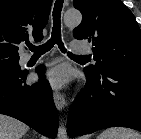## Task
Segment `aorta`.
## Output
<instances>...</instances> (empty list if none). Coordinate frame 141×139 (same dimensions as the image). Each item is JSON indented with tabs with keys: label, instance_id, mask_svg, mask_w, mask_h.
Instances as JSON below:
<instances>
[{
	"label": "aorta",
	"instance_id": "1",
	"mask_svg": "<svg viewBox=\"0 0 141 139\" xmlns=\"http://www.w3.org/2000/svg\"><path fill=\"white\" fill-rule=\"evenodd\" d=\"M81 20H82V15L79 11L69 10L64 14V23L67 26H77L81 23ZM57 138L68 139L66 128L62 122L59 123Z\"/></svg>",
	"mask_w": 141,
	"mask_h": 139
}]
</instances>
